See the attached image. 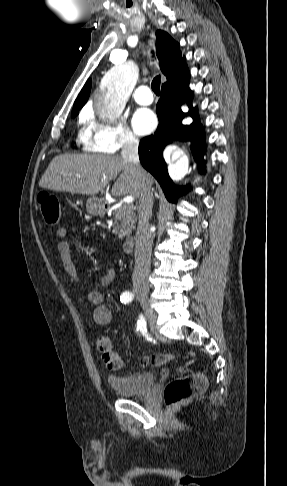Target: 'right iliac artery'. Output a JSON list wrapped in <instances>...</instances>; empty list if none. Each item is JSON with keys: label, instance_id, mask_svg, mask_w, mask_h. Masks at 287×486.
Segmentation results:
<instances>
[{"label": "right iliac artery", "instance_id": "obj_1", "mask_svg": "<svg viewBox=\"0 0 287 486\" xmlns=\"http://www.w3.org/2000/svg\"><path fill=\"white\" fill-rule=\"evenodd\" d=\"M134 298V295L129 292L125 291L120 297V300L122 303H128L132 301ZM137 331H140L147 339H148V334H147V329H146V321L143 315H140L138 322H137Z\"/></svg>", "mask_w": 287, "mask_h": 486}]
</instances>
